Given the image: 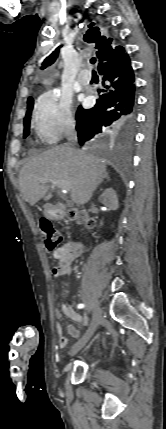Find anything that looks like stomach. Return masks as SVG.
Returning <instances> with one entry per match:
<instances>
[{"instance_id": "0dacf381", "label": "stomach", "mask_w": 166, "mask_h": 429, "mask_svg": "<svg viewBox=\"0 0 166 429\" xmlns=\"http://www.w3.org/2000/svg\"><path fill=\"white\" fill-rule=\"evenodd\" d=\"M45 214L47 215V216H50V217H55V216H57V213L54 211V210H52L49 206H45Z\"/></svg>"}]
</instances>
